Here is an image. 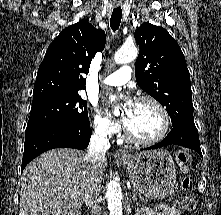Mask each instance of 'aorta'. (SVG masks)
Listing matches in <instances>:
<instances>
[{
  "mask_svg": "<svg viewBox=\"0 0 221 215\" xmlns=\"http://www.w3.org/2000/svg\"><path fill=\"white\" fill-rule=\"evenodd\" d=\"M138 50L135 46H123L114 55V61L117 64H125L134 61L137 58ZM116 112V109L114 110ZM108 200V209L110 215H122V190L120 184L116 181H110L106 189Z\"/></svg>",
  "mask_w": 221,
  "mask_h": 215,
  "instance_id": "obj_1",
  "label": "aorta"
}]
</instances>
